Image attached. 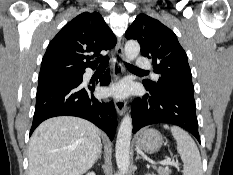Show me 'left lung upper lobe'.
<instances>
[{"label": "left lung upper lobe", "mask_w": 233, "mask_h": 175, "mask_svg": "<svg viewBox=\"0 0 233 175\" xmlns=\"http://www.w3.org/2000/svg\"><path fill=\"white\" fill-rule=\"evenodd\" d=\"M125 36L138 40L141 54L152 58L154 72L160 75L158 83L144 80L145 87L154 91L163 88L194 91L187 55L172 30L146 14H139Z\"/></svg>", "instance_id": "5c2ea615"}]
</instances>
